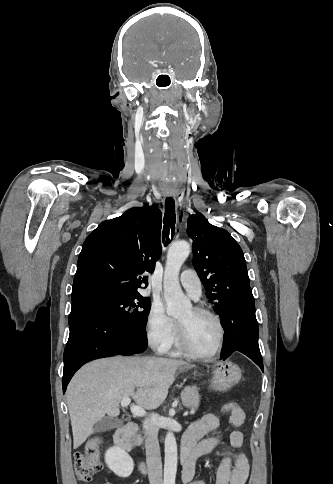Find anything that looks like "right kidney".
Here are the masks:
<instances>
[{
  "instance_id": "ca27d5eb",
  "label": "right kidney",
  "mask_w": 333,
  "mask_h": 484,
  "mask_svg": "<svg viewBox=\"0 0 333 484\" xmlns=\"http://www.w3.org/2000/svg\"><path fill=\"white\" fill-rule=\"evenodd\" d=\"M105 462L108 468L119 477H129L133 472V459L119 447H111L106 451Z\"/></svg>"
}]
</instances>
